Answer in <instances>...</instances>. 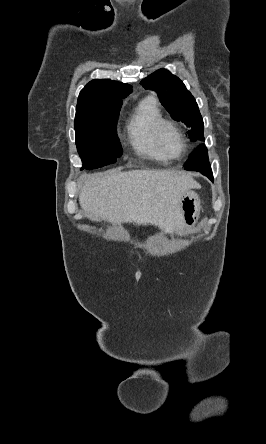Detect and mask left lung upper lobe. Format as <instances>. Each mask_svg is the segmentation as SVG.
Instances as JSON below:
<instances>
[{"mask_svg": "<svg viewBox=\"0 0 266 444\" xmlns=\"http://www.w3.org/2000/svg\"><path fill=\"white\" fill-rule=\"evenodd\" d=\"M146 89H153L174 120L181 121L190 130L193 141L204 140V124L196 100L184 83L169 71L160 69L141 82Z\"/></svg>", "mask_w": 266, "mask_h": 444, "instance_id": "obj_1", "label": "left lung upper lobe"}]
</instances>
